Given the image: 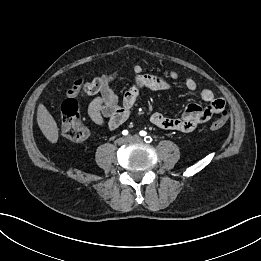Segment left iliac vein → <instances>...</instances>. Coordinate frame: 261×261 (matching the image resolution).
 Here are the masks:
<instances>
[{
  "label": "left iliac vein",
  "instance_id": "obj_1",
  "mask_svg": "<svg viewBox=\"0 0 261 261\" xmlns=\"http://www.w3.org/2000/svg\"><path fill=\"white\" fill-rule=\"evenodd\" d=\"M127 140L129 142H141L142 138L139 135H132V136H128Z\"/></svg>",
  "mask_w": 261,
  "mask_h": 261
}]
</instances>
